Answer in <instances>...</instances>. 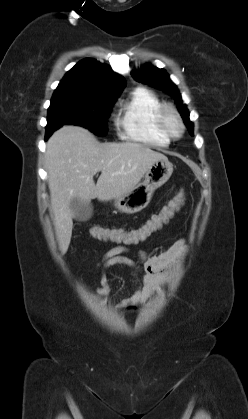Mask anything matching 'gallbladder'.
Here are the masks:
<instances>
[{
    "mask_svg": "<svg viewBox=\"0 0 248 419\" xmlns=\"http://www.w3.org/2000/svg\"><path fill=\"white\" fill-rule=\"evenodd\" d=\"M70 209L74 213V219L78 221H87L93 214V206L90 202H81L79 199L74 198L70 202Z\"/></svg>",
    "mask_w": 248,
    "mask_h": 419,
    "instance_id": "obj_1",
    "label": "gallbladder"
}]
</instances>
